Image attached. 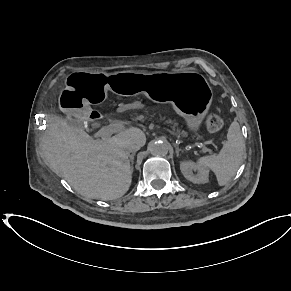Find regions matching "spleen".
<instances>
[{
  "label": "spleen",
  "instance_id": "1",
  "mask_svg": "<svg viewBox=\"0 0 291 291\" xmlns=\"http://www.w3.org/2000/svg\"><path fill=\"white\" fill-rule=\"evenodd\" d=\"M245 153V143L238 122L231 123L227 141L218 155L202 157L198 163L211 169L220 186L226 185L236 174Z\"/></svg>",
  "mask_w": 291,
  "mask_h": 291
}]
</instances>
